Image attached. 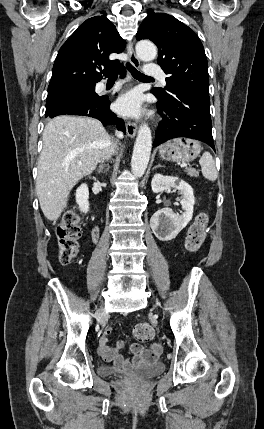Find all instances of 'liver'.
<instances>
[{
  "mask_svg": "<svg viewBox=\"0 0 264 429\" xmlns=\"http://www.w3.org/2000/svg\"><path fill=\"white\" fill-rule=\"evenodd\" d=\"M111 143L102 124L89 117L57 116L43 131L36 193L44 216L56 222L72 188L91 174Z\"/></svg>",
  "mask_w": 264,
  "mask_h": 429,
  "instance_id": "liver-1",
  "label": "liver"
}]
</instances>
